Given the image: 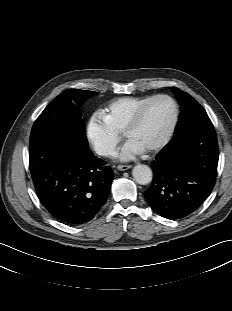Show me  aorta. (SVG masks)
<instances>
[{"mask_svg": "<svg viewBox=\"0 0 232 311\" xmlns=\"http://www.w3.org/2000/svg\"><path fill=\"white\" fill-rule=\"evenodd\" d=\"M134 180L141 185L149 184L152 181V170L143 164L136 165L132 170Z\"/></svg>", "mask_w": 232, "mask_h": 311, "instance_id": "aorta-1", "label": "aorta"}]
</instances>
